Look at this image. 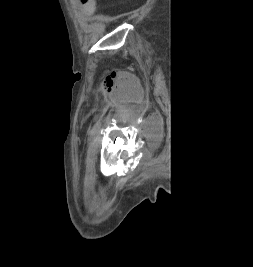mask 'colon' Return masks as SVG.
<instances>
[{
    "mask_svg": "<svg viewBox=\"0 0 253 267\" xmlns=\"http://www.w3.org/2000/svg\"><path fill=\"white\" fill-rule=\"evenodd\" d=\"M81 4L85 7L86 11L93 13L95 9V0H80Z\"/></svg>",
    "mask_w": 253,
    "mask_h": 267,
    "instance_id": "5ec220e1",
    "label": "colon"
}]
</instances>
